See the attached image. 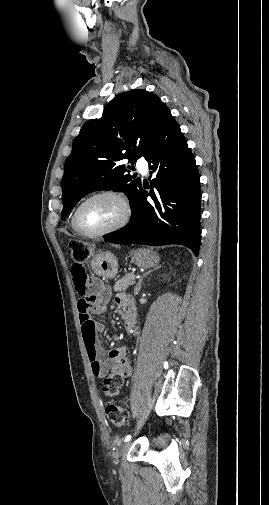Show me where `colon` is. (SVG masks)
<instances>
[{
	"label": "colon",
	"instance_id": "colon-1",
	"mask_svg": "<svg viewBox=\"0 0 269 505\" xmlns=\"http://www.w3.org/2000/svg\"><path fill=\"white\" fill-rule=\"evenodd\" d=\"M92 250L89 246L81 243H73L71 246V256L73 261L80 260L82 263L88 260ZM81 268H84L83 265ZM97 298L96 295H94ZM123 380L115 374H111L103 380V392L108 397H113L118 393ZM106 416L110 423L116 428H123L129 423L128 412L114 402H109L105 408Z\"/></svg>",
	"mask_w": 269,
	"mask_h": 505
}]
</instances>
